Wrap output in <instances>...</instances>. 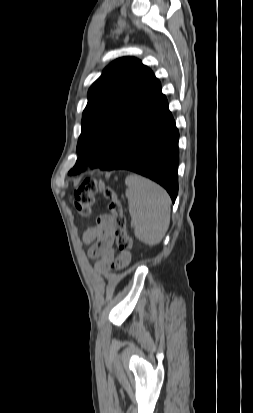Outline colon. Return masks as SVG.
Returning a JSON list of instances; mask_svg holds the SVG:
<instances>
[{
  "instance_id": "colon-1",
  "label": "colon",
  "mask_w": 253,
  "mask_h": 413,
  "mask_svg": "<svg viewBox=\"0 0 253 413\" xmlns=\"http://www.w3.org/2000/svg\"><path fill=\"white\" fill-rule=\"evenodd\" d=\"M101 192L108 200V210L112 222V234L115 238L116 246L121 254L129 253L132 248V238L127 232L126 218L122 203L116 191L106 185L103 181L87 177L77 187L74 192V205L82 217H88L93 209L94 196Z\"/></svg>"
}]
</instances>
